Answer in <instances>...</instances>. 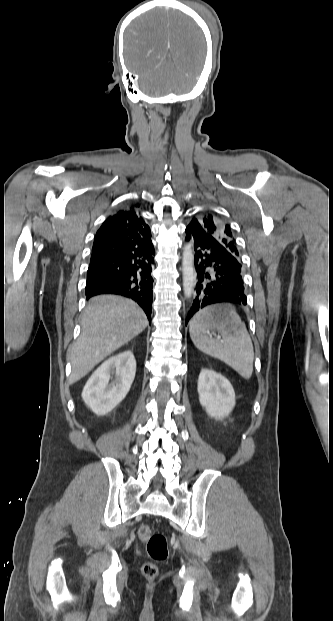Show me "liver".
Returning a JSON list of instances; mask_svg holds the SVG:
<instances>
[{"label": "liver", "mask_w": 333, "mask_h": 621, "mask_svg": "<svg viewBox=\"0 0 333 621\" xmlns=\"http://www.w3.org/2000/svg\"><path fill=\"white\" fill-rule=\"evenodd\" d=\"M81 335L70 353L72 383L99 362L139 335L148 325L143 310L133 301L113 295L90 299L82 318Z\"/></svg>", "instance_id": "1"}]
</instances>
